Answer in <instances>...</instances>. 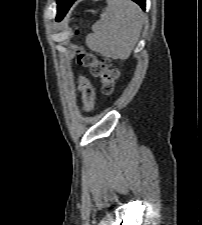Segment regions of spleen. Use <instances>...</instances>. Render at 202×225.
Returning <instances> with one entry per match:
<instances>
[{"label": "spleen", "instance_id": "spleen-1", "mask_svg": "<svg viewBox=\"0 0 202 225\" xmlns=\"http://www.w3.org/2000/svg\"><path fill=\"white\" fill-rule=\"evenodd\" d=\"M145 21L131 0H107V7L86 38L88 47L104 57L127 59L135 47Z\"/></svg>", "mask_w": 202, "mask_h": 225}]
</instances>
